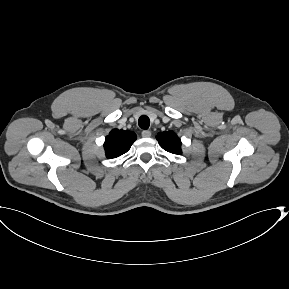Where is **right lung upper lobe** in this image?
Listing matches in <instances>:
<instances>
[{"mask_svg":"<svg viewBox=\"0 0 289 289\" xmlns=\"http://www.w3.org/2000/svg\"><path fill=\"white\" fill-rule=\"evenodd\" d=\"M136 138L134 132L117 129L112 130L109 135L106 136L104 143L106 157L112 159L123 155L130 149Z\"/></svg>","mask_w":289,"mask_h":289,"instance_id":"right-lung-upper-lobe-1","label":"right lung upper lobe"}]
</instances>
